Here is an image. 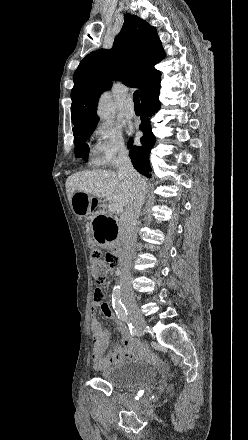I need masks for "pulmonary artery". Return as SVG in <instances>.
Instances as JSON below:
<instances>
[{
	"instance_id": "e3ab8cb5",
	"label": "pulmonary artery",
	"mask_w": 248,
	"mask_h": 440,
	"mask_svg": "<svg viewBox=\"0 0 248 440\" xmlns=\"http://www.w3.org/2000/svg\"><path fill=\"white\" fill-rule=\"evenodd\" d=\"M123 115L127 119H132L135 115L134 105H133V102L130 98L127 99L125 102Z\"/></svg>"
}]
</instances>
